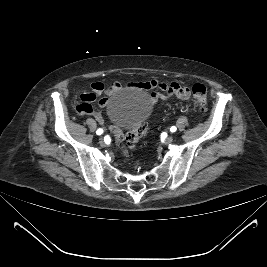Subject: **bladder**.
<instances>
[{
	"mask_svg": "<svg viewBox=\"0 0 267 267\" xmlns=\"http://www.w3.org/2000/svg\"><path fill=\"white\" fill-rule=\"evenodd\" d=\"M106 112L114 126L124 129L143 124L151 109L142 93L135 90H120L110 98Z\"/></svg>",
	"mask_w": 267,
	"mask_h": 267,
	"instance_id": "bladder-1",
	"label": "bladder"
}]
</instances>
